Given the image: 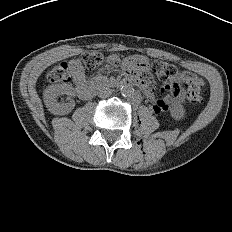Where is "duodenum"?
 Instances as JSON below:
<instances>
[{
    "label": "duodenum",
    "mask_w": 232,
    "mask_h": 232,
    "mask_svg": "<svg viewBox=\"0 0 232 232\" xmlns=\"http://www.w3.org/2000/svg\"><path fill=\"white\" fill-rule=\"evenodd\" d=\"M106 84L114 87L141 85L139 80L133 77H128L126 79L117 82H106ZM95 90H96L95 83H85L84 85L78 88V94L83 99H90L91 97H93Z\"/></svg>",
    "instance_id": "duodenum-1"
}]
</instances>
